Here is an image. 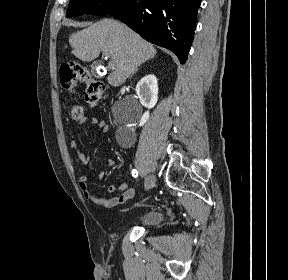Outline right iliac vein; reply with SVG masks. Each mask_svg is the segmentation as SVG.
Returning a JSON list of instances; mask_svg holds the SVG:
<instances>
[{
  "mask_svg": "<svg viewBox=\"0 0 288 280\" xmlns=\"http://www.w3.org/2000/svg\"><path fill=\"white\" fill-rule=\"evenodd\" d=\"M155 185L154 175H148L145 180V190H150Z\"/></svg>",
  "mask_w": 288,
  "mask_h": 280,
  "instance_id": "right-iliac-vein-1",
  "label": "right iliac vein"
}]
</instances>
